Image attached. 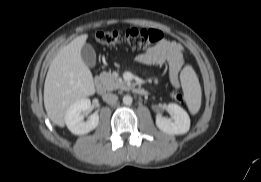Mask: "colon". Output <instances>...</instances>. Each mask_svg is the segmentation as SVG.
Returning a JSON list of instances; mask_svg holds the SVG:
<instances>
[{
  "mask_svg": "<svg viewBox=\"0 0 261 182\" xmlns=\"http://www.w3.org/2000/svg\"><path fill=\"white\" fill-rule=\"evenodd\" d=\"M95 40L106 46H116L125 43L133 50L145 49L155 46L162 38L161 31L156 29L129 28L124 32L98 31L94 35ZM172 96L179 102L183 101L180 93L174 91Z\"/></svg>",
  "mask_w": 261,
  "mask_h": 182,
  "instance_id": "1",
  "label": "colon"
}]
</instances>
